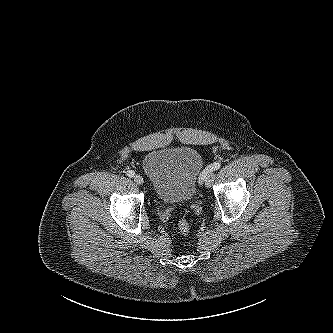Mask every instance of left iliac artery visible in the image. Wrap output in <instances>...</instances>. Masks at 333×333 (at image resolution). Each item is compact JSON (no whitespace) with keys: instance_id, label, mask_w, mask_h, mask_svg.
<instances>
[{"instance_id":"obj_1","label":"left iliac artery","mask_w":333,"mask_h":333,"mask_svg":"<svg viewBox=\"0 0 333 333\" xmlns=\"http://www.w3.org/2000/svg\"><path fill=\"white\" fill-rule=\"evenodd\" d=\"M221 167V163L220 162H214L213 164L209 165L203 172L201 175V180H204L207 173L210 171H215L218 170Z\"/></svg>"}]
</instances>
